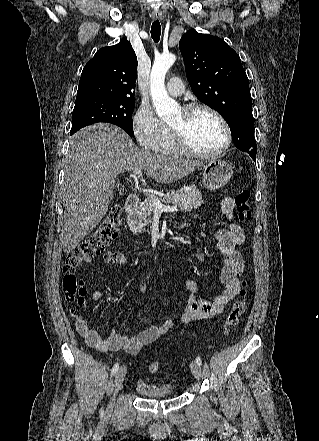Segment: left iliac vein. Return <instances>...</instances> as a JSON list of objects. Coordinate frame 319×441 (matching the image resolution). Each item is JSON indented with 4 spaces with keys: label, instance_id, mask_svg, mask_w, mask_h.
Masks as SVG:
<instances>
[{
    "label": "left iliac vein",
    "instance_id": "4c4485c4",
    "mask_svg": "<svg viewBox=\"0 0 319 441\" xmlns=\"http://www.w3.org/2000/svg\"><path fill=\"white\" fill-rule=\"evenodd\" d=\"M190 369L193 375L195 376V378L199 380L201 378V373H202L200 365L197 362L192 361L190 363Z\"/></svg>",
    "mask_w": 319,
    "mask_h": 441
}]
</instances>
